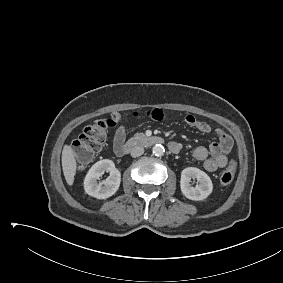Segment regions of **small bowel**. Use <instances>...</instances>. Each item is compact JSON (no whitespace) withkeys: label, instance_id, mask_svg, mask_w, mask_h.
<instances>
[{"label":"small bowel","instance_id":"c3829d8e","mask_svg":"<svg viewBox=\"0 0 283 283\" xmlns=\"http://www.w3.org/2000/svg\"><path fill=\"white\" fill-rule=\"evenodd\" d=\"M149 117L153 120H161L163 118V112L159 109H151L149 111ZM108 121L110 126L115 128L113 139L114 151L117 155H120V149L124 145L126 138L125 128L121 124L122 115L120 113H113ZM184 122L189 127L201 133L209 134L211 132L209 124L193 115H186ZM216 134L218 136L217 140L213 141L208 148L199 146L193 152L194 158L198 161H202L204 170L208 172H214L227 165L228 154L233 146L232 138L224 130L216 129ZM170 145L175 149L174 153H178L181 150V146L177 142H171Z\"/></svg>","mask_w":283,"mask_h":283}]
</instances>
